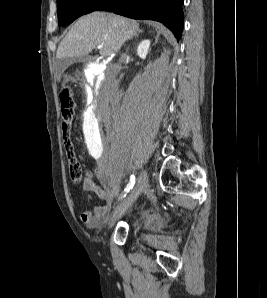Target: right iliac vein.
Here are the masks:
<instances>
[{
  "label": "right iliac vein",
  "mask_w": 267,
  "mask_h": 298,
  "mask_svg": "<svg viewBox=\"0 0 267 298\" xmlns=\"http://www.w3.org/2000/svg\"><path fill=\"white\" fill-rule=\"evenodd\" d=\"M148 175L146 170H142L138 176L137 184L130 191L127 197L119 203L114 209L109 221L108 228H111L115 222L132 206L139 194L147 187Z\"/></svg>",
  "instance_id": "1"
}]
</instances>
